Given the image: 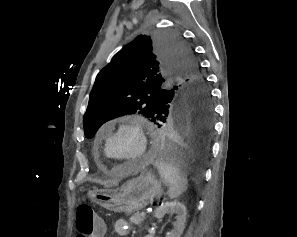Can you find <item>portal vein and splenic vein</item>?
Returning a JSON list of instances; mask_svg holds the SVG:
<instances>
[{"instance_id":"18ae733b","label":"portal vein and splenic vein","mask_w":297,"mask_h":237,"mask_svg":"<svg viewBox=\"0 0 297 237\" xmlns=\"http://www.w3.org/2000/svg\"><path fill=\"white\" fill-rule=\"evenodd\" d=\"M146 213L145 212H142V216H144Z\"/></svg>"}]
</instances>
